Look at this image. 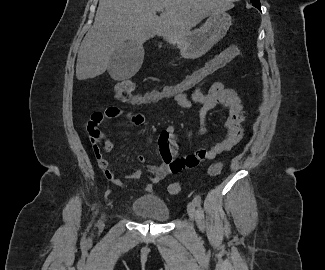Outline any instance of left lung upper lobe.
<instances>
[{
    "instance_id": "5c2ea615",
    "label": "left lung upper lobe",
    "mask_w": 325,
    "mask_h": 270,
    "mask_svg": "<svg viewBox=\"0 0 325 270\" xmlns=\"http://www.w3.org/2000/svg\"><path fill=\"white\" fill-rule=\"evenodd\" d=\"M255 7H260V1L259 0H250Z\"/></svg>"
}]
</instances>
